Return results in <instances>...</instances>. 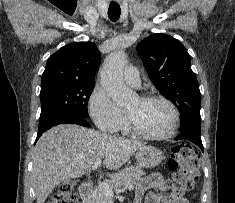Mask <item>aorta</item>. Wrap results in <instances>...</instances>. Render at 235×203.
Masks as SVG:
<instances>
[{
  "label": "aorta",
  "mask_w": 235,
  "mask_h": 203,
  "mask_svg": "<svg viewBox=\"0 0 235 203\" xmlns=\"http://www.w3.org/2000/svg\"><path fill=\"white\" fill-rule=\"evenodd\" d=\"M126 63L124 51L116 50L107 56L100 72L102 87L117 105L126 104L131 95L123 82V69Z\"/></svg>",
  "instance_id": "aorta-1"
}]
</instances>
